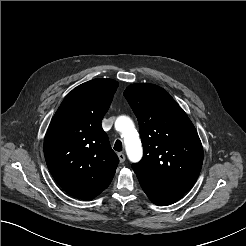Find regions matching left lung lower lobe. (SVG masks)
<instances>
[{
  "mask_svg": "<svg viewBox=\"0 0 246 246\" xmlns=\"http://www.w3.org/2000/svg\"><path fill=\"white\" fill-rule=\"evenodd\" d=\"M138 180L149 199L159 206L173 204L184 195L182 192L162 187L146 179L138 178Z\"/></svg>",
  "mask_w": 246,
  "mask_h": 246,
  "instance_id": "1",
  "label": "left lung lower lobe"
}]
</instances>
